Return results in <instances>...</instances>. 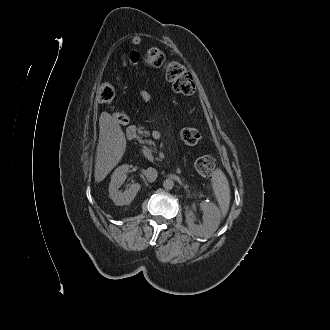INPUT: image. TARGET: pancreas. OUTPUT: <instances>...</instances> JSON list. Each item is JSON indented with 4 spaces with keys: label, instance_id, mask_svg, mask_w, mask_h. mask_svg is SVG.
Wrapping results in <instances>:
<instances>
[{
    "label": "pancreas",
    "instance_id": "cf45deb5",
    "mask_svg": "<svg viewBox=\"0 0 330 330\" xmlns=\"http://www.w3.org/2000/svg\"><path fill=\"white\" fill-rule=\"evenodd\" d=\"M145 142L148 143V144L152 143V141H150V140H146Z\"/></svg>",
    "mask_w": 330,
    "mask_h": 330
}]
</instances>
